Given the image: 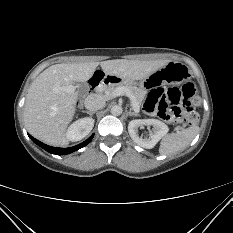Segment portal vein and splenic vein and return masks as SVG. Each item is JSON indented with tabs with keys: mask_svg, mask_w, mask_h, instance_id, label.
<instances>
[{
	"mask_svg": "<svg viewBox=\"0 0 233 233\" xmlns=\"http://www.w3.org/2000/svg\"><path fill=\"white\" fill-rule=\"evenodd\" d=\"M126 95L131 100V106L135 113H139V108L133 103L134 97L130 94V92L124 87H118L114 89L112 92H106V96L109 98H115L117 96Z\"/></svg>",
	"mask_w": 233,
	"mask_h": 233,
	"instance_id": "portal-vein-and-splenic-vein-1",
	"label": "portal vein and splenic vein"
}]
</instances>
